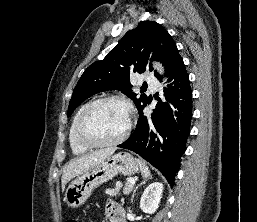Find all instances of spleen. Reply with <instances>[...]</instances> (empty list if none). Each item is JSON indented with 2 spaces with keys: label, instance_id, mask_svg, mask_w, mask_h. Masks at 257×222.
I'll list each match as a JSON object with an SVG mask.
<instances>
[{
  "label": "spleen",
  "instance_id": "spleen-1",
  "mask_svg": "<svg viewBox=\"0 0 257 222\" xmlns=\"http://www.w3.org/2000/svg\"><path fill=\"white\" fill-rule=\"evenodd\" d=\"M137 161L140 165V170H141V173H142L143 177L147 178L148 176H150V170L146 166V164L143 161H141L140 159H138Z\"/></svg>",
  "mask_w": 257,
  "mask_h": 222
}]
</instances>
